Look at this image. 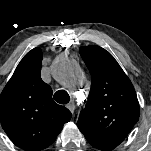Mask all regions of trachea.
Masks as SVG:
<instances>
[{
    "instance_id": "trachea-1",
    "label": "trachea",
    "mask_w": 151,
    "mask_h": 151,
    "mask_svg": "<svg viewBox=\"0 0 151 151\" xmlns=\"http://www.w3.org/2000/svg\"><path fill=\"white\" fill-rule=\"evenodd\" d=\"M53 97L59 104H67L70 101L69 94L65 90H58Z\"/></svg>"
}]
</instances>
